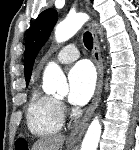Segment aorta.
Returning a JSON list of instances; mask_svg holds the SVG:
<instances>
[{"mask_svg":"<svg viewBox=\"0 0 139 150\" xmlns=\"http://www.w3.org/2000/svg\"><path fill=\"white\" fill-rule=\"evenodd\" d=\"M88 19L89 16L86 13L68 15L56 26V41L61 43L70 39L81 29ZM43 89L46 93H57L60 95H66L68 93L66 78L59 66L55 63L49 64L45 69L43 76ZM101 129V123L98 116H96L87 129L82 141L81 150H97L101 136Z\"/></svg>","mask_w":139,"mask_h":150,"instance_id":"1","label":"aorta"}]
</instances>
